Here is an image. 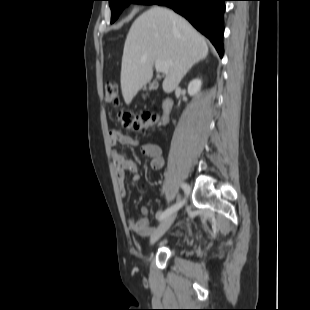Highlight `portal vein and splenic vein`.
<instances>
[{
    "label": "portal vein and splenic vein",
    "mask_w": 310,
    "mask_h": 310,
    "mask_svg": "<svg viewBox=\"0 0 310 310\" xmlns=\"http://www.w3.org/2000/svg\"><path fill=\"white\" fill-rule=\"evenodd\" d=\"M155 68L157 72L166 73L169 69V63L165 61H156Z\"/></svg>",
    "instance_id": "obj_1"
}]
</instances>
